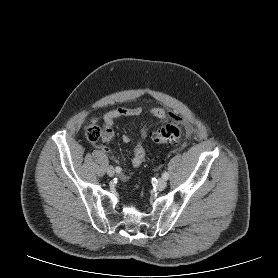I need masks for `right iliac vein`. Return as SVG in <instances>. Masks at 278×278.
<instances>
[{
  "label": "right iliac vein",
  "mask_w": 278,
  "mask_h": 278,
  "mask_svg": "<svg viewBox=\"0 0 278 278\" xmlns=\"http://www.w3.org/2000/svg\"><path fill=\"white\" fill-rule=\"evenodd\" d=\"M107 174L110 176V177H113L114 174H115V170L112 166L108 167L107 168Z\"/></svg>",
  "instance_id": "63e3f726"
}]
</instances>
